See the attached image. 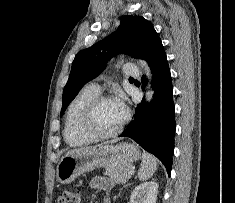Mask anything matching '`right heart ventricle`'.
<instances>
[{
	"instance_id": "1",
	"label": "right heart ventricle",
	"mask_w": 235,
	"mask_h": 203,
	"mask_svg": "<svg viewBox=\"0 0 235 203\" xmlns=\"http://www.w3.org/2000/svg\"><path fill=\"white\" fill-rule=\"evenodd\" d=\"M98 94V90L92 86H86L68 106L63 130L64 140L68 145L73 147L82 146L95 140L82 131L81 118L86 105Z\"/></svg>"
}]
</instances>
